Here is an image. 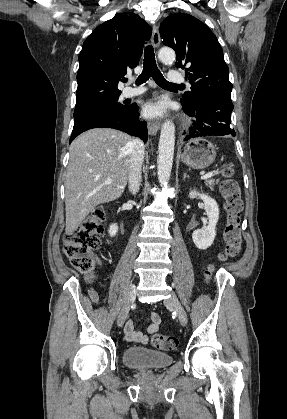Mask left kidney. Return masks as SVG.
Listing matches in <instances>:
<instances>
[{
    "instance_id": "left-kidney-1",
    "label": "left kidney",
    "mask_w": 287,
    "mask_h": 419,
    "mask_svg": "<svg viewBox=\"0 0 287 419\" xmlns=\"http://www.w3.org/2000/svg\"><path fill=\"white\" fill-rule=\"evenodd\" d=\"M189 197L194 199L199 197L204 202V209L208 216V226L197 229L192 233V239L197 248L205 250L213 244L216 236V224L219 219V207L217 202L206 194L190 191Z\"/></svg>"
}]
</instances>
